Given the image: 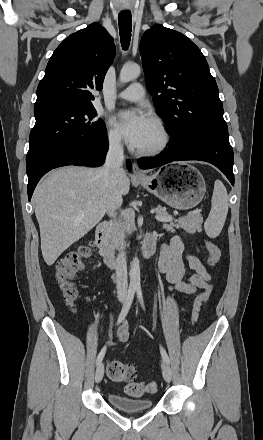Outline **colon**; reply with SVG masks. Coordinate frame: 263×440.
<instances>
[{"instance_id": "colon-1", "label": "colon", "mask_w": 263, "mask_h": 440, "mask_svg": "<svg viewBox=\"0 0 263 440\" xmlns=\"http://www.w3.org/2000/svg\"><path fill=\"white\" fill-rule=\"evenodd\" d=\"M206 248L209 253V263L215 266L221 256L220 248L212 241L206 242ZM92 249V243L82 247L79 251L70 253L59 260L55 266L54 277L58 287L63 293L66 302L70 305L77 300L79 292L75 284V276L85 263L89 260ZM210 291L205 289L196 299L195 309L193 312V321L197 322L203 306L208 301ZM106 374L109 379L115 382H130L137 375L136 367L129 363L118 360H109L106 363ZM157 390L155 382H139L130 383L126 386L125 391L132 396H140L145 393H152Z\"/></svg>"}]
</instances>
